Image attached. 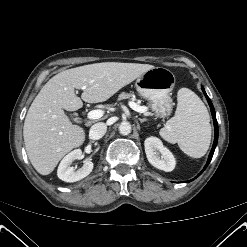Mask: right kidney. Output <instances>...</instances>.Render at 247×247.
Listing matches in <instances>:
<instances>
[{
	"mask_svg": "<svg viewBox=\"0 0 247 247\" xmlns=\"http://www.w3.org/2000/svg\"><path fill=\"white\" fill-rule=\"evenodd\" d=\"M81 157L82 151L80 149H75L67 154L60 162L57 170L59 179L71 183L88 176L93 170V163L91 161H86L84 165L76 171L74 167L70 166L74 160L80 159Z\"/></svg>",
	"mask_w": 247,
	"mask_h": 247,
	"instance_id": "ca27d5eb",
	"label": "right kidney"
}]
</instances>
